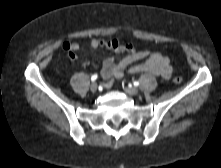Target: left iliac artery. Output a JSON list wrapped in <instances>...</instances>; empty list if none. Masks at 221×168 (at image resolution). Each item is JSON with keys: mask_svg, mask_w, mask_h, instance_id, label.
Returning a JSON list of instances; mask_svg holds the SVG:
<instances>
[{"mask_svg": "<svg viewBox=\"0 0 221 168\" xmlns=\"http://www.w3.org/2000/svg\"><path fill=\"white\" fill-rule=\"evenodd\" d=\"M133 85L137 87V86H139V82L138 81H134Z\"/></svg>", "mask_w": 221, "mask_h": 168, "instance_id": "left-iliac-artery-1", "label": "left iliac artery"}]
</instances>
